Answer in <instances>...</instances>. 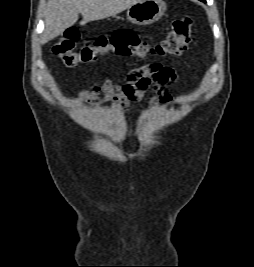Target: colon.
<instances>
[{
	"mask_svg": "<svg viewBox=\"0 0 254 267\" xmlns=\"http://www.w3.org/2000/svg\"><path fill=\"white\" fill-rule=\"evenodd\" d=\"M192 41L191 20L178 18L164 38L156 44L143 42L136 34L118 31L110 37H101L93 43L78 47L79 33L74 28L67 29L54 46V53L67 67L95 62L100 56L113 53L120 56H175L187 49Z\"/></svg>",
	"mask_w": 254,
	"mask_h": 267,
	"instance_id": "1",
	"label": "colon"
}]
</instances>
